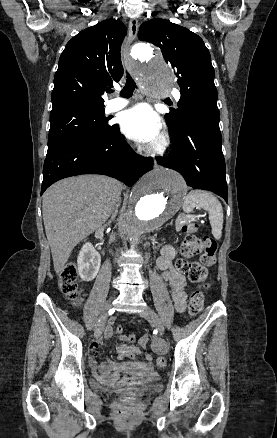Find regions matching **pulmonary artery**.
Masks as SVG:
<instances>
[{"label":"pulmonary artery","mask_w":277,"mask_h":438,"mask_svg":"<svg viewBox=\"0 0 277 438\" xmlns=\"http://www.w3.org/2000/svg\"><path fill=\"white\" fill-rule=\"evenodd\" d=\"M128 105H129L128 100L117 99L111 103L110 110H111V112H116V111H119V110L127 107Z\"/></svg>","instance_id":"1"}]
</instances>
